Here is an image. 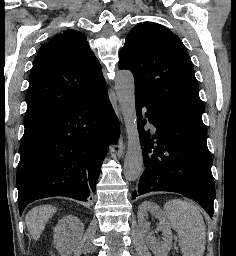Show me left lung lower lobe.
<instances>
[{"label": "left lung lower lobe", "instance_id": "0a47b994", "mask_svg": "<svg viewBox=\"0 0 236 256\" xmlns=\"http://www.w3.org/2000/svg\"><path fill=\"white\" fill-rule=\"evenodd\" d=\"M135 103L145 170L132 198L151 191L176 192L194 199L212 216L215 184L206 126L137 95ZM143 107L156 128L153 132L143 128Z\"/></svg>", "mask_w": 236, "mask_h": 256}]
</instances>
